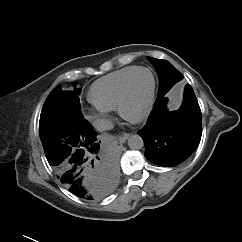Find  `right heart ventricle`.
I'll return each mask as SVG.
<instances>
[{"label":"right heart ventricle","instance_id":"e07e8e85","mask_svg":"<svg viewBox=\"0 0 242 242\" xmlns=\"http://www.w3.org/2000/svg\"><path fill=\"white\" fill-rule=\"evenodd\" d=\"M137 68V66L124 67L96 80L89 89L90 102L98 109L109 111L117 109L123 86Z\"/></svg>","mask_w":242,"mask_h":242}]
</instances>
